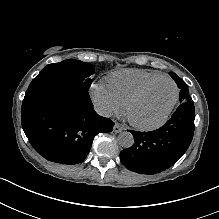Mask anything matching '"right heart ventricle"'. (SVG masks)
I'll return each instance as SVG.
<instances>
[{
    "label": "right heart ventricle",
    "mask_w": 219,
    "mask_h": 219,
    "mask_svg": "<svg viewBox=\"0 0 219 219\" xmlns=\"http://www.w3.org/2000/svg\"><path fill=\"white\" fill-rule=\"evenodd\" d=\"M160 77H163V75L156 72L124 69L114 72L108 77L107 87L112 95L124 106L136 92Z\"/></svg>",
    "instance_id": "1"
}]
</instances>
